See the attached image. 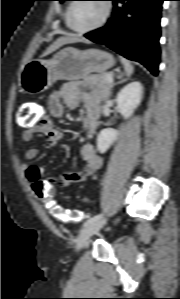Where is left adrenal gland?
I'll return each instance as SVG.
<instances>
[{
  "label": "left adrenal gland",
  "instance_id": "1",
  "mask_svg": "<svg viewBox=\"0 0 180 299\" xmlns=\"http://www.w3.org/2000/svg\"><path fill=\"white\" fill-rule=\"evenodd\" d=\"M123 80H121V81H119L118 83H121ZM117 84V83H116ZM116 84H114V85H116Z\"/></svg>",
  "mask_w": 180,
  "mask_h": 299
}]
</instances>
